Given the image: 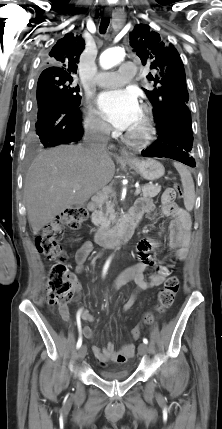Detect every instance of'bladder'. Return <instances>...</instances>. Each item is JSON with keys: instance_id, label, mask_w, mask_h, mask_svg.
Returning <instances> with one entry per match:
<instances>
[{"instance_id": "bladder-1", "label": "bladder", "mask_w": 222, "mask_h": 429, "mask_svg": "<svg viewBox=\"0 0 222 429\" xmlns=\"http://www.w3.org/2000/svg\"><path fill=\"white\" fill-rule=\"evenodd\" d=\"M99 376L106 380L120 381L127 379L130 376V371L126 369L104 370L99 373Z\"/></svg>"}]
</instances>
